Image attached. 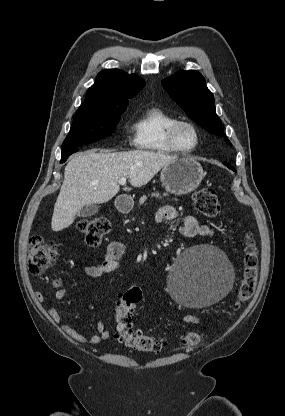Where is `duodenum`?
Wrapping results in <instances>:
<instances>
[{
  "mask_svg": "<svg viewBox=\"0 0 285 416\" xmlns=\"http://www.w3.org/2000/svg\"><path fill=\"white\" fill-rule=\"evenodd\" d=\"M115 204L122 212H127L134 205V198L130 197L129 193H120L119 197H116Z\"/></svg>",
  "mask_w": 285,
  "mask_h": 416,
  "instance_id": "410a0bca",
  "label": "duodenum"
}]
</instances>
